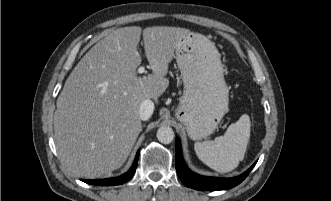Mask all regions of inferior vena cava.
<instances>
[{
  "label": "inferior vena cava",
  "mask_w": 331,
  "mask_h": 201,
  "mask_svg": "<svg viewBox=\"0 0 331 201\" xmlns=\"http://www.w3.org/2000/svg\"><path fill=\"white\" fill-rule=\"evenodd\" d=\"M153 111L154 103L149 99L144 100L139 108L140 119L143 121L148 120L151 117Z\"/></svg>",
  "instance_id": "obj_1"
}]
</instances>
